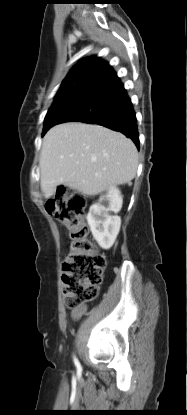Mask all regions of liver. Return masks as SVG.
<instances>
[{"label": "liver", "instance_id": "6515ba94", "mask_svg": "<svg viewBox=\"0 0 187 415\" xmlns=\"http://www.w3.org/2000/svg\"><path fill=\"white\" fill-rule=\"evenodd\" d=\"M39 166L45 198L59 185L92 196L130 182L136 175L138 152L119 132L100 125L62 123L44 136Z\"/></svg>", "mask_w": 187, "mask_h": 415}]
</instances>
